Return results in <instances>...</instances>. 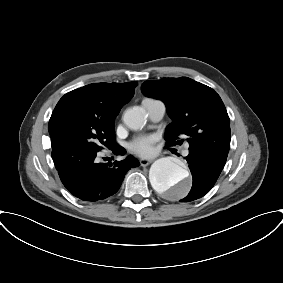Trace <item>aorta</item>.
Masks as SVG:
<instances>
[{"instance_id":"762f6f07","label":"aorta","mask_w":283,"mask_h":283,"mask_svg":"<svg viewBox=\"0 0 283 283\" xmlns=\"http://www.w3.org/2000/svg\"><path fill=\"white\" fill-rule=\"evenodd\" d=\"M124 123L133 130L146 123L145 113L140 108H129L123 114ZM149 179L159 193L170 192L174 198H182L189 191V173L174 159L165 157L156 160L150 168Z\"/></svg>"}]
</instances>
